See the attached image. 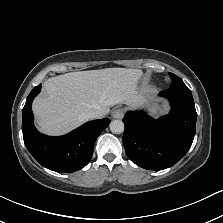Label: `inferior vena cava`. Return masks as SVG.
<instances>
[{
    "label": "inferior vena cava",
    "instance_id": "1",
    "mask_svg": "<svg viewBox=\"0 0 223 223\" xmlns=\"http://www.w3.org/2000/svg\"><path fill=\"white\" fill-rule=\"evenodd\" d=\"M104 114L105 113L101 110H91L88 113V118L89 119H98V118H102Z\"/></svg>",
    "mask_w": 223,
    "mask_h": 223
}]
</instances>
